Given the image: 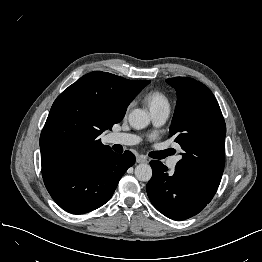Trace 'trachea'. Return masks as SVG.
Instances as JSON below:
<instances>
[{"instance_id": "3493384b", "label": "trachea", "mask_w": 262, "mask_h": 262, "mask_svg": "<svg viewBox=\"0 0 262 262\" xmlns=\"http://www.w3.org/2000/svg\"><path fill=\"white\" fill-rule=\"evenodd\" d=\"M171 151L170 150H165V151H161V152H151L149 155L152 158L155 159H163L165 157H167L168 155H171Z\"/></svg>"}]
</instances>
